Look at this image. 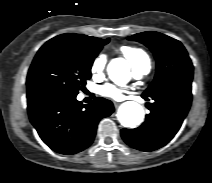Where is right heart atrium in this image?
<instances>
[{
	"label": "right heart atrium",
	"mask_w": 212,
	"mask_h": 183,
	"mask_svg": "<svg viewBox=\"0 0 212 183\" xmlns=\"http://www.w3.org/2000/svg\"><path fill=\"white\" fill-rule=\"evenodd\" d=\"M107 58L105 54H99L92 62L90 72L93 77H101L103 75Z\"/></svg>",
	"instance_id": "right-heart-atrium-1"
}]
</instances>
